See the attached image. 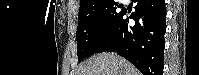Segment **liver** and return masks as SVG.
<instances>
[{
  "label": "liver",
  "mask_w": 199,
  "mask_h": 75,
  "mask_svg": "<svg viewBox=\"0 0 199 75\" xmlns=\"http://www.w3.org/2000/svg\"><path fill=\"white\" fill-rule=\"evenodd\" d=\"M76 75H140V72L114 53H101L81 64Z\"/></svg>",
  "instance_id": "1"
}]
</instances>
